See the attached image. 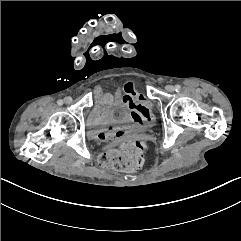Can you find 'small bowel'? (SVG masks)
I'll list each match as a JSON object with an SVG mask.
<instances>
[{"label":"small bowel","mask_w":241,"mask_h":241,"mask_svg":"<svg viewBox=\"0 0 241 241\" xmlns=\"http://www.w3.org/2000/svg\"><path fill=\"white\" fill-rule=\"evenodd\" d=\"M119 109L123 114L121 124H108L102 129L92 131L91 137L96 140H122L134 136L139 131H144L156 121L151 103L145 95L138 94L132 82H127L123 88ZM112 106V97L109 94L100 95L95 107V115L105 119Z\"/></svg>","instance_id":"1"}]
</instances>
